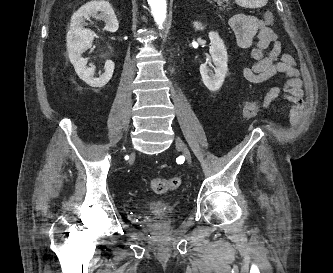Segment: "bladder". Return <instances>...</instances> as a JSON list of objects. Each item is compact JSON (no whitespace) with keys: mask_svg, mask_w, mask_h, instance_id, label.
Listing matches in <instances>:
<instances>
[{"mask_svg":"<svg viewBox=\"0 0 333 273\" xmlns=\"http://www.w3.org/2000/svg\"><path fill=\"white\" fill-rule=\"evenodd\" d=\"M175 212V206L172 204L155 205L151 209L152 216L159 222H169Z\"/></svg>","mask_w":333,"mask_h":273,"instance_id":"31cf9c89","label":"bladder"}]
</instances>
